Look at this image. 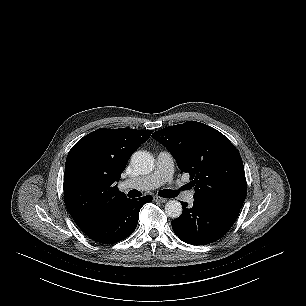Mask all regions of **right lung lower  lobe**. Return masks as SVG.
Returning a JSON list of instances; mask_svg holds the SVG:
<instances>
[{"label":"right lung lower lobe","mask_w":306,"mask_h":306,"mask_svg":"<svg viewBox=\"0 0 306 306\" xmlns=\"http://www.w3.org/2000/svg\"><path fill=\"white\" fill-rule=\"evenodd\" d=\"M152 201L147 195L138 199L127 198L106 217L91 227L82 230L92 240L113 244L127 238L137 227L139 211L142 206Z\"/></svg>","instance_id":"98d812e1"}]
</instances>
